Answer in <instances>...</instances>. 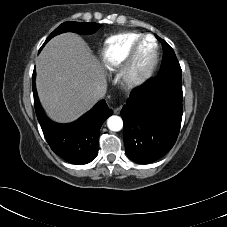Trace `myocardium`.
<instances>
[{
  "label": "myocardium",
  "mask_w": 227,
  "mask_h": 227,
  "mask_svg": "<svg viewBox=\"0 0 227 227\" xmlns=\"http://www.w3.org/2000/svg\"><path fill=\"white\" fill-rule=\"evenodd\" d=\"M151 39L154 43L152 58L145 68L140 69L137 65V59L141 47ZM159 62V44L156 37L152 34L143 35L133 45L121 70V81L125 87L132 88L141 85L147 81L154 73Z\"/></svg>",
  "instance_id": "myocardium-1"
}]
</instances>
